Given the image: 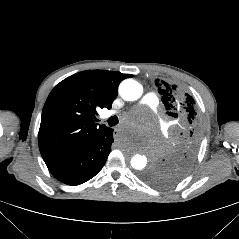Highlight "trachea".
<instances>
[{"label": "trachea", "mask_w": 239, "mask_h": 239, "mask_svg": "<svg viewBox=\"0 0 239 239\" xmlns=\"http://www.w3.org/2000/svg\"><path fill=\"white\" fill-rule=\"evenodd\" d=\"M107 122L109 126H115L118 123V118L117 116H112L107 120Z\"/></svg>", "instance_id": "1"}]
</instances>
